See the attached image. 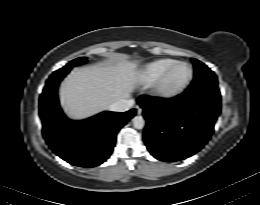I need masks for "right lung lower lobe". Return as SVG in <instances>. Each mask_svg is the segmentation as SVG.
I'll return each mask as SVG.
<instances>
[{
  "instance_id": "right-lung-lower-lobe-1",
  "label": "right lung lower lobe",
  "mask_w": 260,
  "mask_h": 205,
  "mask_svg": "<svg viewBox=\"0 0 260 205\" xmlns=\"http://www.w3.org/2000/svg\"><path fill=\"white\" fill-rule=\"evenodd\" d=\"M69 71H55L40 96L43 136L52 151L68 163L95 167L111 155L118 131L135 115V109L106 111L82 121L67 119L58 103L57 87Z\"/></svg>"
}]
</instances>
